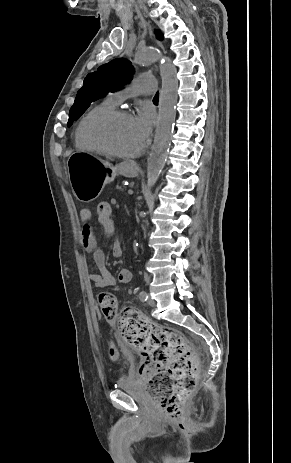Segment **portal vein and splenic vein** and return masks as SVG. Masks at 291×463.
<instances>
[{"label":"portal vein and splenic vein","mask_w":291,"mask_h":463,"mask_svg":"<svg viewBox=\"0 0 291 463\" xmlns=\"http://www.w3.org/2000/svg\"><path fill=\"white\" fill-rule=\"evenodd\" d=\"M128 194H130V195L133 194V190H132V189H129V190H128Z\"/></svg>","instance_id":"portal-vein-and-splenic-vein-1"}]
</instances>
